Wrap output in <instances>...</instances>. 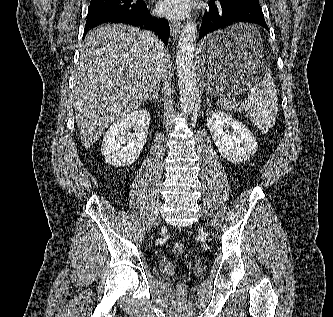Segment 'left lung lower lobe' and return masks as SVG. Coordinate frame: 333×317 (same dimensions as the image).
Segmentation results:
<instances>
[{"label":"left lung lower lobe","mask_w":333,"mask_h":317,"mask_svg":"<svg viewBox=\"0 0 333 317\" xmlns=\"http://www.w3.org/2000/svg\"><path fill=\"white\" fill-rule=\"evenodd\" d=\"M236 23L258 24L269 31L259 1L212 0L202 18L199 39ZM211 51L216 54L222 52L220 48H212Z\"/></svg>","instance_id":"left-lung-lower-lobe-1"}]
</instances>
